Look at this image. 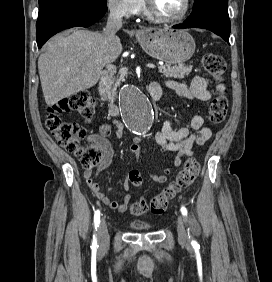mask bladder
Segmentation results:
<instances>
[{
  "label": "bladder",
  "mask_w": 272,
  "mask_h": 282,
  "mask_svg": "<svg viewBox=\"0 0 272 282\" xmlns=\"http://www.w3.org/2000/svg\"><path fill=\"white\" fill-rule=\"evenodd\" d=\"M130 226L136 230H148L151 228V225L142 220H133L130 223Z\"/></svg>",
  "instance_id": "1"
}]
</instances>
